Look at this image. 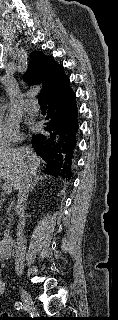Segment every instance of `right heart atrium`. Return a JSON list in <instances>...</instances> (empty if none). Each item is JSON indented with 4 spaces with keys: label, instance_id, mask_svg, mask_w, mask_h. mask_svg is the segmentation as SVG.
I'll use <instances>...</instances> for the list:
<instances>
[{
    "label": "right heart atrium",
    "instance_id": "obj_1",
    "mask_svg": "<svg viewBox=\"0 0 118 320\" xmlns=\"http://www.w3.org/2000/svg\"><path fill=\"white\" fill-rule=\"evenodd\" d=\"M21 139L18 124L0 117V148L10 146Z\"/></svg>",
    "mask_w": 118,
    "mask_h": 320
}]
</instances>
